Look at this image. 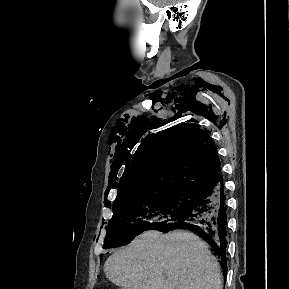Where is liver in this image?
<instances>
[{"label":"liver","instance_id":"obj_1","mask_svg":"<svg viewBox=\"0 0 289 289\" xmlns=\"http://www.w3.org/2000/svg\"><path fill=\"white\" fill-rule=\"evenodd\" d=\"M104 272L123 289H222L219 263L188 231H146L111 255Z\"/></svg>","mask_w":289,"mask_h":289}]
</instances>
